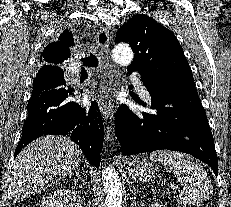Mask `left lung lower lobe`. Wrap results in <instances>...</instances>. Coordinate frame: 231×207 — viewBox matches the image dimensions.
I'll list each match as a JSON object with an SVG mask.
<instances>
[{"label":"left lung lower lobe","instance_id":"1","mask_svg":"<svg viewBox=\"0 0 231 207\" xmlns=\"http://www.w3.org/2000/svg\"><path fill=\"white\" fill-rule=\"evenodd\" d=\"M140 75L156 113L135 114L126 105L119 107L115 135L122 146V155L159 149L181 151L208 164L217 176L213 135L196 88L167 93L163 91L161 77Z\"/></svg>","mask_w":231,"mask_h":207}]
</instances>
